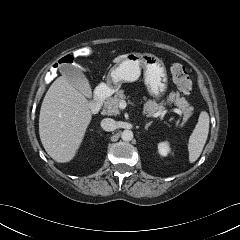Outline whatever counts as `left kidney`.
<instances>
[{
	"instance_id": "1",
	"label": "left kidney",
	"mask_w": 240,
	"mask_h": 240,
	"mask_svg": "<svg viewBox=\"0 0 240 240\" xmlns=\"http://www.w3.org/2000/svg\"><path fill=\"white\" fill-rule=\"evenodd\" d=\"M158 152L162 156H167L168 153L170 152V147H169L168 142H160L158 144Z\"/></svg>"
}]
</instances>
